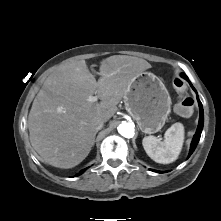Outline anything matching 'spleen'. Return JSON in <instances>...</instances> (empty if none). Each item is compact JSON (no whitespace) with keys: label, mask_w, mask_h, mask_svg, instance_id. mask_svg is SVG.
<instances>
[{"label":"spleen","mask_w":221,"mask_h":221,"mask_svg":"<svg viewBox=\"0 0 221 221\" xmlns=\"http://www.w3.org/2000/svg\"><path fill=\"white\" fill-rule=\"evenodd\" d=\"M183 142L184 127L177 122L166 130L163 141L155 136H147L143 138L142 145L152 160L161 164H169L178 158Z\"/></svg>","instance_id":"1"}]
</instances>
